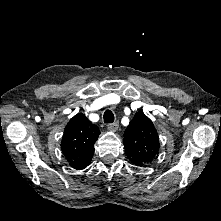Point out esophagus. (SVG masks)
I'll list each match as a JSON object with an SVG mask.
<instances>
[{
    "mask_svg": "<svg viewBox=\"0 0 221 221\" xmlns=\"http://www.w3.org/2000/svg\"><path fill=\"white\" fill-rule=\"evenodd\" d=\"M109 131H116L118 129V122L111 123L107 126Z\"/></svg>",
    "mask_w": 221,
    "mask_h": 221,
    "instance_id": "esophagus-1",
    "label": "esophagus"
}]
</instances>
